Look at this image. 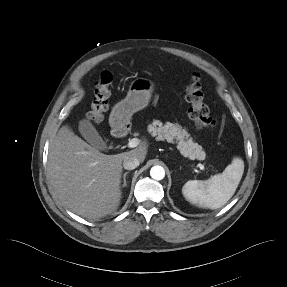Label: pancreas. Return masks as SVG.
<instances>
[{
    "label": "pancreas",
    "instance_id": "obj_1",
    "mask_svg": "<svg viewBox=\"0 0 287 287\" xmlns=\"http://www.w3.org/2000/svg\"><path fill=\"white\" fill-rule=\"evenodd\" d=\"M148 131L157 140H167L169 143H177V148L184 157L191 160L205 159V152L201 145L195 143L188 132L181 125L167 122L163 124L159 120H154L148 125Z\"/></svg>",
    "mask_w": 287,
    "mask_h": 287
}]
</instances>
